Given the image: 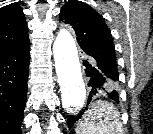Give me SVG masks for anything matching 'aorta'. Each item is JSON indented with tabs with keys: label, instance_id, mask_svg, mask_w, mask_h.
Segmentation results:
<instances>
[{
	"label": "aorta",
	"instance_id": "aorta-1",
	"mask_svg": "<svg viewBox=\"0 0 153 134\" xmlns=\"http://www.w3.org/2000/svg\"><path fill=\"white\" fill-rule=\"evenodd\" d=\"M55 68L61 90L63 108L75 114L86 100V88L75 41L66 29L59 31L53 44Z\"/></svg>",
	"mask_w": 153,
	"mask_h": 134
}]
</instances>
